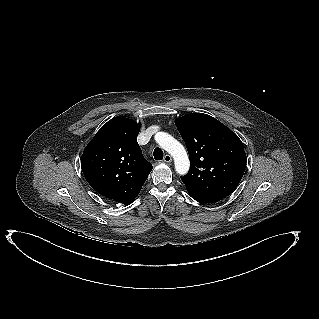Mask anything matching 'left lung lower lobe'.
<instances>
[{"mask_svg":"<svg viewBox=\"0 0 319 319\" xmlns=\"http://www.w3.org/2000/svg\"><path fill=\"white\" fill-rule=\"evenodd\" d=\"M188 192H189L190 196H191L194 200H196V201H198V202H200V203H213V202H217V201H215V200H212V199H210V198H207V197L202 196V195H200V194H197V193H195V192H191V191H188Z\"/></svg>","mask_w":319,"mask_h":319,"instance_id":"obj_1","label":"left lung lower lobe"}]
</instances>
